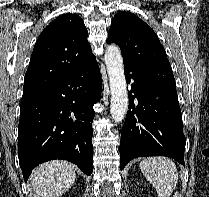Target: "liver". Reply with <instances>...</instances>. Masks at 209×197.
<instances>
[{"label":"liver","mask_w":209,"mask_h":197,"mask_svg":"<svg viewBox=\"0 0 209 197\" xmlns=\"http://www.w3.org/2000/svg\"><path fill=\"white\" fill-rule=\"evenodd\" d=\"M76 179L74 165L54 160L42 163L33 170L30 182L35 197H60L67 192Z\"/></svg>","instance_id":"6515ba94"}]
</instances>
